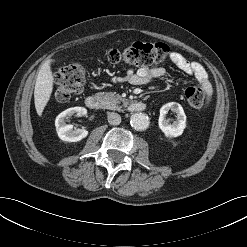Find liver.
<instances>
[{
    "label": "liver",
    "instance_id": "6515ba94",
    "mask_svg": "<svg viewBox=\"0 0 247 247\" xmlns=\"http://www.w3.org/2000/svg\"><path fill=\"white\" fill-rule=\"evenodd\" d=\"M51 62L47 61L41 66L35 83L34 103L39 116L42 115L53 91L54 77L50 67Z\"/></svg>",
    "mask_w": 247,
    "mask_h": 247
}]
</instances>
